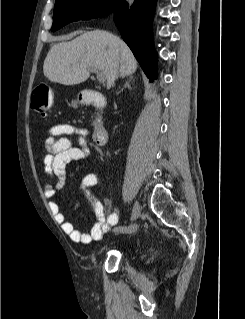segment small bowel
<instances>
[{
    "label": "small bowel",
    "mask_w": 245,
    "mask_h": 319,
    "mask_svg": "<svg viewBox=\"0 0 245 319\" xmlns=\"http://www.w3.org/2000/svg\"><path fill=\"white\" fill-rule=\"evenodd\" d=\"M67 136H75L78 146L71 145ZM89 131L71 124H59L51 127L45 139L46 155L44 157L45 172L49 178H55V185L48 181L43 187V195L51 198L57 190L63 188L66 179V165L72 161L86 160L90 155L87 145ZM100 182V176L96 173L84 175L79 182V188L87 199L92 211L96 216V223L90 233H82L77 230L74 224L66 219L60 206L55 201L49 202V207L56 220L61 224L63 231L75 243L88 244L97 241L109 231L111 226L118 222V209L110 213V203L105 201L101 204L90 192V188Z\"/></svg>",
    "instance_id": "c3829d8e"
}]
</instances>
